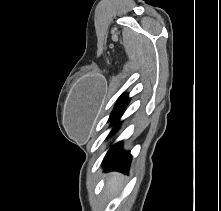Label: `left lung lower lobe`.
Listing matches in <instances>:
<instances>
[{
  "label": "left lung lower lobe",
  "mask_w": 221,
  "mask_h": 211,
  "mask_svg": "<svg viewBox=\"0 0 221 211\" xmlns=\"http://www.w3.org/2000/svg\"><path fill=\"white\" fill-rule=\"evenodd\" d=\"M123 111L124 110H122L117 116L112 119V124H116L111 133L118 129L120 125V123H118V120L123 114ZM131 158L132 156L129 152H123L121 150V142H119L109 149L102 164L105 167V171L116 170L127 174Z\"/></svg>",
  "instance_id": "left-lung-lower-lobe-1"
}]
</instances>
